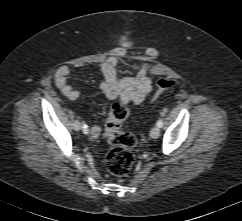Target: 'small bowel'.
Returning <instances> with one entry per match:
<instances>
[{
	"label": "small bowel",
	"mask_w": 242,
	"mask_h": 221,
	"mask_svg": "<svg viewBox=\"0 0 242 221\" xmlns=\"http://www.w3.org/2000/svg\"><path fill=\"white\" fill-rule=\"evenodd\" d=\"M126 55V50L119 48L104 61L100 66L103 81L100 90L108 100L123 101L134 105L141 104L152 91V79L148 75L147 62L141 63L137 74L133 77H120L117 72L118 60ZM71 69L68 66H61L55 74V84L60 92L69 100H76L80 97L79 91L72 87L69 82ZM91 134L97 137L100 134V127L91 125Z\"/></svg>",
	"instance_id": "small-bowel-1"
}]
</instances>
